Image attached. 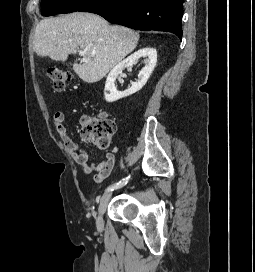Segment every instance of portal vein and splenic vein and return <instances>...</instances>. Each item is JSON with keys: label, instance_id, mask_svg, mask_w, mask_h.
<instances>
[{"label": "portal vein and splenic vein", "instance_id": "1", "mask_svg": "<svg viewBox=\"0 0 255 272\" xmlns=\"http://www.w3.org/2000/svg\"><path fill=\"white\" fill-rule=\"evenodd\" d=\"M79 54L83 57L82 58L83 62H88L89 61L88 58H86V50L85 49L84 50H79Z\"/></svg>", "mask_w": 255, "mask_h": 272}]
</instances>
